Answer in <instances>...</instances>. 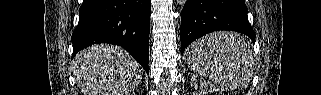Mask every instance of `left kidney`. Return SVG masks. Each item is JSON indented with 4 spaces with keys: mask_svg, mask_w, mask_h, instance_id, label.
Here are the masks:
<instances>
[{
    "mask_svg": "<svg viewBox=\"0 0 321 95\" xmlns=\"http://www.w3.org/2000/svg\"><path fill=\"white\" fill-rule=\"evenodd\" d=\"M208 92V89L199 91V95H205Z\"/></svg>",
    "mask_w": 321,
    "mask_h": 95,
    "instance_id": "obj_1",
    "label": "left kidney"
}]
</instances>
